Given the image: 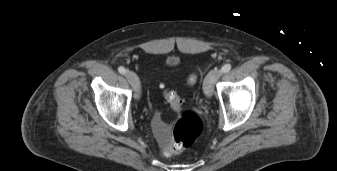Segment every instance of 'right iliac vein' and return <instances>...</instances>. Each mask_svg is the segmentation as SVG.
<instances>
[{
	"label": "right iliac vein",
	"mask_w": 337,
	"mask_h": 171,
	"mask_svg": "<svg viewBox=\"0 0 337 171\" xmlns=\"http://www.w3.org/2000/svg\"><path fill=\"white\" fill-rule=\"evenodd\" d=\"M126 78H127V80L129 81V83L131 84V86L134 88V90L136 92L135 97L139 98L140 82H139L138 76L133 71H128L126 73Z\"/></svg>",
	"instance_id": "63e3f726"
}]
</instances>
